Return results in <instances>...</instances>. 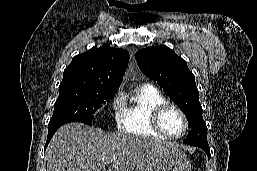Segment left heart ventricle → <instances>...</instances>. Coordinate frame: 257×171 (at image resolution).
Segmentation results:
<instances>
[{
    "mask_svg": "<svg viewBox=\"0 0 257 171\" xmlns=\"http://www.w3.org/2000/svg\"><path fill=\"white\" fill-rule=\"evenodd\" d=\"M161 122L164 130L172 136H178L184 130L182 117L174 109L167 110L164 113Z\"/></svg>",
    "mask_w": 257,
    "mask_h": 171,
    "instance_id": "1",
    "label": "left heart ventricle"
}]
</instances>
